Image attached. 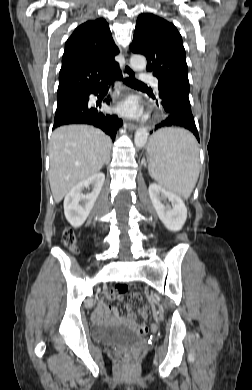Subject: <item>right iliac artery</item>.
I'll return each mask as SVG.
<instances>
[{"label":"right iliac artery","instance_id":"82829eb1","mask_svg":"<svg viewBox=\"0 0 252 390\" xmlns=\"http://www.w3.org/2000/svg\"><path fill=\"white\" fill-rule=\"evenodd\" d=\"M93 310H96V307H93Z\"/></svg>","mask_w":252,"mask_h":390}]
</instances>
